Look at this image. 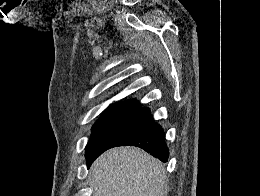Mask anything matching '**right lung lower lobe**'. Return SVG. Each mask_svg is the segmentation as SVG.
Returning <instances> with one entry per match:
<instances>
[{"mask_svg": "<svg viewBox=\"0 0 260 196\" xmlns=\"http://www.w3.org/2000/svg\"><path fill=\"white\" fill-rule=\"evenodd\" d=\"M116 146L140 147L162 162H167L169 157L168 148L164 139V131L162 127L155 122L132 134ZM104 151L105 150H86L88 167Z\"/></svg>", "mask_w": 260, "mask_h": 196, "instance_id": "obj_1", "label": "right lung lower lobe"}]
</instances>
